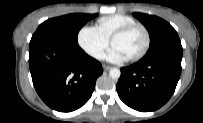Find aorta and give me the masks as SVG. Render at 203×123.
Listing matches in <instances>:
<instances>
[{
	"label": "aorta",
	"mask_w": 203,
	"mask_h": 123,
	"mask_svg": "<svg viewBox=\"0 0 203 123\" xmlns=\"http://www.w3.org/2000/svg\"><path fill=\"white\" fill-rule=\"evenodd\" d=\"M109 75L113 78V79H118L121 75V72L118 68H112L109 71Z\"/></svg>",
	"instance_id": "762f6f07"
}]
</instances>
